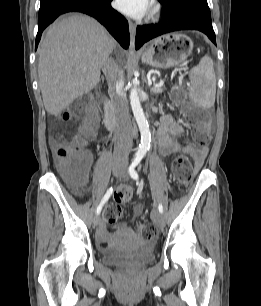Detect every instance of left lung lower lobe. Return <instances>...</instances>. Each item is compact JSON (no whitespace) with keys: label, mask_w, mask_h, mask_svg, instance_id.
Returning <instances> with one entry per match:
<instances>
[{"label":"left lung lower lobe","mask_w":261,"mask_h":306,"mask_svg":"<svg viewBox=\"0 0 261 306\" xmlns=\"http://www.w3.org/2000/svg\"><path fill=\"white\" fill-rule=\"evenodd\" d=\"M162 21L156 25L138 26L135 48L165 33L178 30H199L216 44L207 0H166Z\"/></svg>","instance_id":"1"}]
</instances>
